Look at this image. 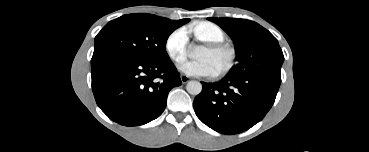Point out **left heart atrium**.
Masks as SVG:
<instances>
[{
    "instance_id": "1",
    "label": "left heart atrium",
    "mask_w": 369,
    "mask_h": 152,
    "mask_svg": "<svg viewBox=\"0 0 369 152\" xmlns=\"http://www.w3.org/2000/svg\"><path fill=\"white\" fill-rule=\"evenodd\" d=\"M178 69L182 73L194 77L213 76L217 72L214 62L209 58L182 61L178 65Z\"/></svg>"
}]
</instances>
